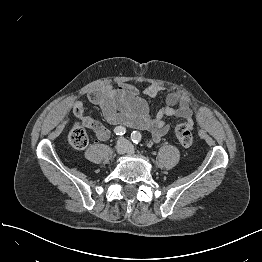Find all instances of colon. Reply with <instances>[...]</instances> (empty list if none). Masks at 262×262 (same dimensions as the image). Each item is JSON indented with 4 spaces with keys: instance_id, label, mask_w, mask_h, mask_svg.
<instances>
[{
    "instance_id": "obj_1",
    "label": "colon",
    "mask_w": 262,
    "mask_h": 262,
    "mask_svg": "<svg viewBox=\"0 0 262 262\" xmlns=\"http://www.w3.org/2000/svg\"><path fill=\"white\" fill-rule=\"evenodd\" d=\"M175 134L179 143L183 147H190L193 141L191 127L189 124L182 122L176 125ZM68 140L71 146L75 149H84L89 142V137L84 128L79 125L74 126L69 134Z\"/></svg>"
}]
</instances>
